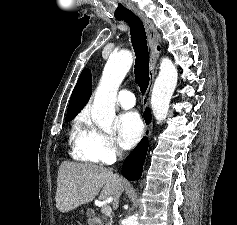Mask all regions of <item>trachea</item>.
Segmentation results:
<instances>
[{"mask_svg": "<svg viewBox=\"0 0 237 225\" xmlns=\"http://www.w3.org/2000/svg\"><path fill=\"white\" fill-rule=\"evenodd\" d=\"M117 20H124L130 27L131 42L136 56L134 65L135 82L138 84L141 93L144 94L150 80L149 52L144 25L140 18L132 12L117 17Z\"/></svg>", "mask_w": 237, "mask_h": 225, "instance_id": "trachea-1", "label": "trachea"}]
</instances>
